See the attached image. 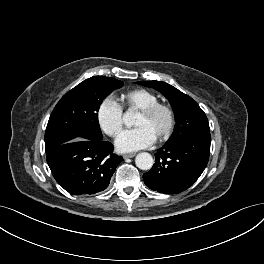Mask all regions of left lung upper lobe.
I'll return each mask as SVG.
<instances>
[{"mask_svg":"<svg viewBox=\"0 0 264 264\" xmlns=\"http://www.w3.org/2000/svg\"><path fill=\"white\" fill-rule=\"evenodd\" d=\"M137 83L158 90L169 100L176 124L167 142L181 141L197 134L210 133L204 111L191 97L165 82L139 81Z\"/></svg>","mask_w":264,"mask_h":264,"instance_id":"1","label":"left lung upper lobe"}]
</instances>
